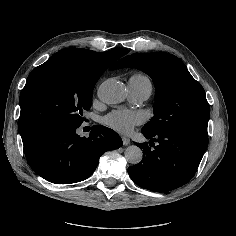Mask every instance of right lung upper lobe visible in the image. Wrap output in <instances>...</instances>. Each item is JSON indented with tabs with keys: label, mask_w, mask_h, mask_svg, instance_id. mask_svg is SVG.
<instances>
[{
	"label": "right lung upper lobe",
	"mask_w": 236,
	"mask_h": 236,
	"mask_svg": "<svg viewBox=\"0 0 236 236\" xmlns=\"http://www.w3.org/2000/svg\"><path fill=\"white\" fill-rule=\"evenodd\" d=\"M60 51L71 52L76 55L82 61L90 64L93 67L99 69H107L120 57L127 54L129 51L126 49H113L107 52H95L92 50L81 49V48H69Z\"/></svg>",
	"instance_id": "obj_1"
}]
</instances>
